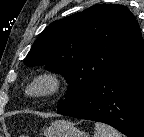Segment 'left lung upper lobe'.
Masks as SVG:
<instances>
[{
	"instance_id": "obj_1",
	"label": "left lung upper lobe",
	"mask_w": 144,
	"mask_h": 137,
	"mask_svg": "<svg viewBox=\"0 0 144 137\" xmlns=\"http://www.w3.org/2000/svg\"><path fill=\"white\" fill-rule=\"evenodd\" d=\"M140 37L139 24L126 6L97 4L46 27L24 63L45 65L65 77L68 92L58 106L65 108L84 98Z\"/></svg>"
}]
</instances>
